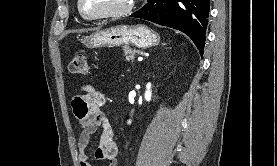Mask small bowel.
Returning <instances> with one entry per match:
<instances>
[{"mask_svg":"<svg viewBox=\"0 0 277 166\" xmlns=\"http://www.w3.org/2000/svg\"><path fill=\"white\" fill-rule=\"evenodd\" d=\"M84 90L86 95L77 96L72 101L73 112L81 128L77 139L80 166H92L86 150L92 134L99 127L101 135L94 152V159L108 161L107 166H118V146L111 124L102 110L106 103V96L90 86H85Z\"/></svg>","mask_w":277,"mask_h":166,"instance_id":"small-bowel-1","label":"small bowel"}]
</instances>
